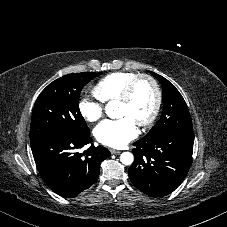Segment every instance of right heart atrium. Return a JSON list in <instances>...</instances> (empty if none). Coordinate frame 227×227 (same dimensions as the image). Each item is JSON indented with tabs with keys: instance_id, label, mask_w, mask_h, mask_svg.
<instances>
[{
	"instance_id": "right-heart-atrium-1",
	"label": "right heart atrium",
	"mask_w": 227,
	"mask_h": 227,
	"mask_svg": "<svg viewBox=\"0 0 227 227\" xmlns=\"http://www.w3.org/2000/svg\"><path fill=\"white\" fill-rule=\"evenodd\" d=\"M78 109L85 120L95 122L103 115L104 105L96 94H87L80 98Z\"/></svg>"
}]
</instances>
